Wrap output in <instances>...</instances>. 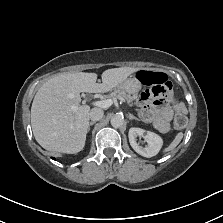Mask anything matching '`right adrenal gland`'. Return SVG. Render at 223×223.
Masks as SVG:
<instances>
[{"mask_svg":"<svg viewBox=\"0 0 223 223\" xmlns=\"http://www.w3.org/2000/svg\"><path fill=\"white\" fill-rule=\"evenodd\" d=\"M95 123H96L95 121H91V122H89V123H88V128H87V130L89 131V130H90V126L93 125V124H95Z\"/></svg>","mask_w":223,"mask_h":223,"instance_id":"right-adrenal-gland-1","label":"right adrenal gland"}]
</instances>
